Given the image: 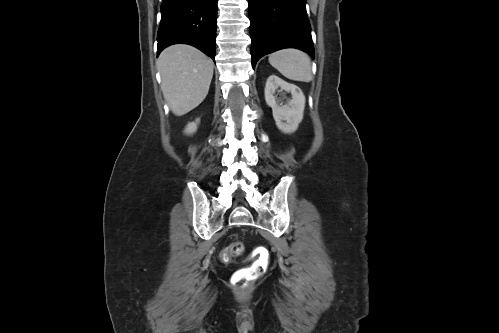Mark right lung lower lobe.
<instances>
[{"instance_id":"98d812e1","label":"right lung lower lobe","mask_w":499,"mask_h":333,"mask_svg":"<svg viewBox=\"0 0 499 333\" xmlns=\"http://www.w3.org/2000/svg\"><path fill=\"white\" fill-rule=\"evenodd\" d=\"M157 55L169 45H192L215 61L217 0H163Z\"/></svg>"}]
</instances>
